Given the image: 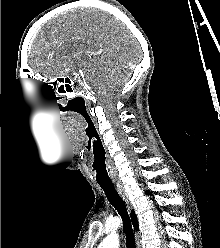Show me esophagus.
<instances>
[{
	"instance_id": "obj_1",
	"label": "esophagus",
	"mask_w": 220,
	"mask_h": 248,
	"mask_svg": "<svg viewBox=\"0 0 220 248\" xmlns=\"http://www.w3.org/2000/svg\"><path fill=\"white\" fill-rule=\"evenodd\" d=\"M117 190L119 192V194L122 196V198L127 201L126 197H125V194H124V191H123V188L121 185L117 184Z\"/></svg>"
}]
</instances>
